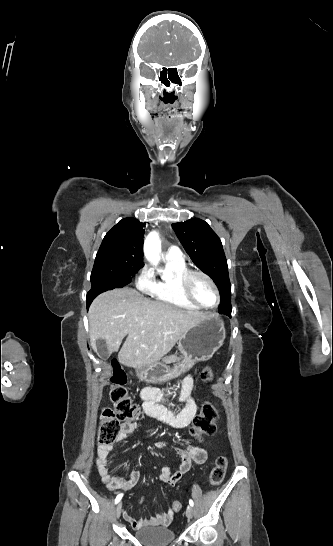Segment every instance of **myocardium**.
<instances>
[{
	"label": "myocardium",
	"instance_id": "1",
	"mask_svg": "<svg viewBox=\"0 0 333 546\" xmlns=\"http://www.w3.org/2000/svg\"><path fill=\"white\" fill-rule=\"evenodd\" d=\"M194 276L203 277L214 288L215 293H216V303L213 306H205V305L201 304L193 296V294L191 292V289H190V281H191L192 277H194ZM179 284H180V289H181V292H182L183 296L188 301H190L192 304L199 307L200 309L211 310V309L216 308L220 303L221 294H220V290H219L217 284L215 283V281L207 273H205V272H203L201 270H187L186 272H184L181 275L180 280H179Z\"/></svg>",
	"mask_w": 333,
	"mask_h": 546
}]
</instances>
